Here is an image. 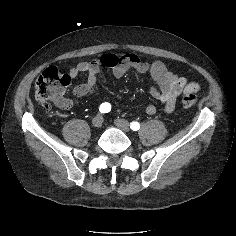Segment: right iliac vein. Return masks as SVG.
Wrapping results in <instances>:
<instances>
[{"label": "right iliac vein", "mask_w": 236, "mask_h": 236, "mask_svg": "<svg viewBox=\"0 0 236 236\" xmlns=\"http://www.w3.org/2000/svg\"><path fill=\"white\" fill-rule=\"evenodd\" d=\"M102 124H103V117L101 115H97L96 117L93 118L92 125L95 128H100Z\"/></svg>", "instance_id": "obj_1"}]
</instances>
